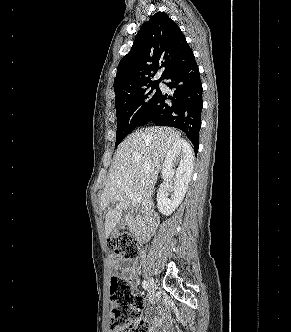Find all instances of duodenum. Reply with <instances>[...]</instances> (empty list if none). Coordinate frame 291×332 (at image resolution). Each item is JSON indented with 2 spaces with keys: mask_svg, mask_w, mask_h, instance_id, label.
Returning <instances> with one entry per match:
<instances>
[{
  "mask_svg": "<svg viewBox=\"0 0 291 332\" xmlns=\"http://www.w3.org/2000/svg\"><path fill=\"white\" fill-rule=\"evenodd\" d=\"M158 222L159 219L155 214H144L141 216L137 228V238L140 243L148 241L155 231Z\"/></svg>",
  "mask_w": 291,
  "mask_h": 332,
  "instance_id": "obj_1",
  "label": "duodenum"
}]
</instances>
